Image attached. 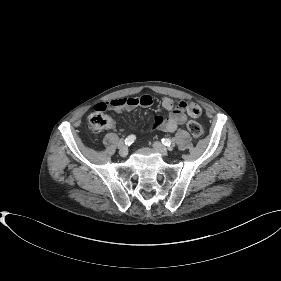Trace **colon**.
<instances>
[{
  "label": "colon",
  "mask_w": 281,
  "mask_h": 281,
  "mask_svg": "<svg viewBox=\"0 0 281 281\" xmlns=\"http://www.w3.org/2000/svg\"><path fill=\"white\" fill-rule=\"evenodd\" d=\"M190 110L194 113L200 112V109L197 107H190ZM103 111L104 110H96L89 116L88 125L90 130L95 134L110 129L113 125L112 119ZM187 129L196 139L203 135L202 126L195 120H189L187 122Z\"/></svg>",
  "instance_id": "1"
}]
</instances>
